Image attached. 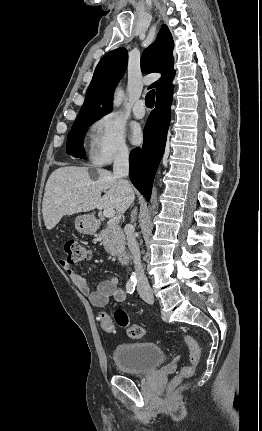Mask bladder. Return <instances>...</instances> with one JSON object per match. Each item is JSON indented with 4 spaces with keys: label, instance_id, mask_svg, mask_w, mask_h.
<instances>
[{
    "label": "bladder",
    "instance_id": "1",
    "mask_svg": "<svg viewBox=\"0 0 262 431\" xmlns=\"http://www.w3.org/2000/svg\"><path fill=\"white\" fill-rule=\"evenodd\" d=\"M164 348L153 342L120 344L115 349V362L122 372L145 374L158 369L165 361Z\"/></svg>",
    "mask_w": 262,
    "mask_h": 431
}]
</instances>
